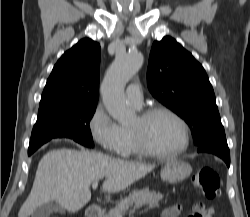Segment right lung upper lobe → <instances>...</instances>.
<instances>
[{"label": "right lung upper lobe", "mask_w": 250, "mask_h": 217, "mask_svg": "<svg viewBox=\"0 0 250 217\" xmlns=\"http://www.w3.org/2000/svg\"><path fill=\"white\" fill-rule=\"evenodd\" d=\"M100 45L82 39L55 64L42 93L38 114L63 108L97 105Z\"/></svg>", "instance_id": "cb5924a9"}]
</instances>
